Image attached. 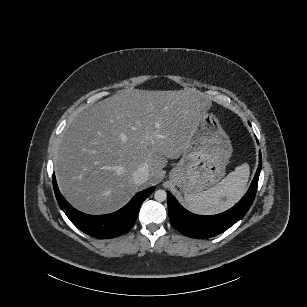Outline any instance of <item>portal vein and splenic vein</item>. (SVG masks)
Returning <instances> with one entry per match:
<instances>
[{
  "label": "portal vein and splenic vein",
  "mask_w": 307,
  "mask_h": 307,
  "mask_svg": "<svg viewBox=\"0 0 307 307\" xmlns=\"http://www.w3.org/2000/svg\"><path fill=\"white\" fill-rule=\"evenodd\" d=\"M150 136H151V133L148 130H145L144 132L145 140H150Z\"/></svg>",
  "instance_id": "obj_1"
}]
</instances>
